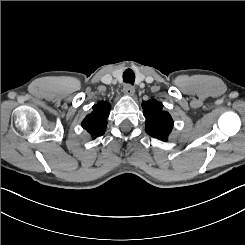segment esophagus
<instances>
[{
  "label": "esophagus",
  "mask_w": 245,
  "mask_h": 245,
  "mask_svg": "<svg viewBox=\"0 0 245 245\" xmlns=\"http://www.w3.org/2000/svg\"><path fill=\"white\" fill-rule=\"evenodd\" d=\"M123 91L128 96H133L135 94V89L132 85L126 84L123 87Z\"/></svg>",
  "instance_id": "1"
}]
</instances>
